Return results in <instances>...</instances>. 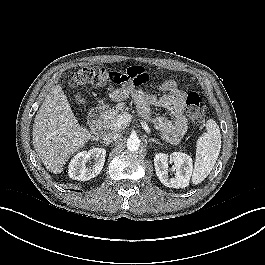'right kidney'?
Masks as SVG:
<instances>
[{
  "instance_id": "right-kidney-1",
  "label": "right kidney",
  "mask_w": 265,
  "mask_h": 265,
  "mask_svg": "<svg viewBox=\"0 0 265 265\" xmlns=\"http://www.w3.org/2000/svg\"><path fill=\"white\" fill-rule=\"evenodd\" d=\"M106 150L93 148L89 151L79 152L69 163L70 178L78 181H87L96 177L105 163ZM93 160V165L86 167V163Z\"/></svg>"
}]
</instances>
